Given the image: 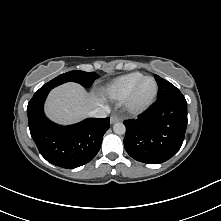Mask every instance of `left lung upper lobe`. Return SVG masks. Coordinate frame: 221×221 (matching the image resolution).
Wrapping results in <instances>:
<instances>
[{
	"label": "left lung upper lobe",
	"mask_w": 221,
	"mask_h": 221,
	"mask_svg": "<svg viewBox=\"0 0 221 221\" xmlns=\"http://www.w3.org/2000/svg\"><path fill=\"white\" fill-rule=\"evenodd\" d=\"M155 80L158 84V96L157 100L165 99L173 96H181L182 93L176 88L173 84L168 82L167 80L159 77L158 75H154Z\"/></svg>",
	"instance_id": "obj_1"
}]
</instances>
